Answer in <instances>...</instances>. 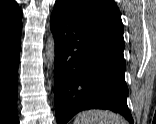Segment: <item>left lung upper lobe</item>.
Returning a JSON list of instances; mask_svg holds the SVG:
<instances>
[{
	"instance_id": "5c2ea615",
	"label": "left lung upper lobe",
	"mask_w": 156,
	"mask_h": 124,
	"mask_svg": "<svg viewBox=\"0 0 156 124\" xmlns=\"http://www.w3.org/2000/svg\"><path fill=\"white\" fill-rule=\"evenodd\" d=\"M55 4L76 21L124 41L120 11L113 0H57Z\"/></svg>"
}]
</instances>
